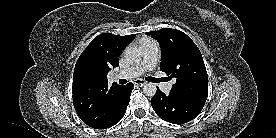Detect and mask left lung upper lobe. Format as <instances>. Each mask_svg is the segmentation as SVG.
<instances>
[{"label":"left lung upper lobe","instance_id":"left-lung-upper-lobe-1","mask_svg":"<svg viewBox=\"0 0 276 138\" xmlns=\"http://www.w3.org/2000/svg\"><path fill=\"white\" fill-rule=\"evenodd\" d=\"M161 47L160 69L176 79L170 94L204 105L208 96V75L200 50L185 33L170 28L146 33Z\"/></svg>","mask_w":276,"mask_h":138}]
</instances>
